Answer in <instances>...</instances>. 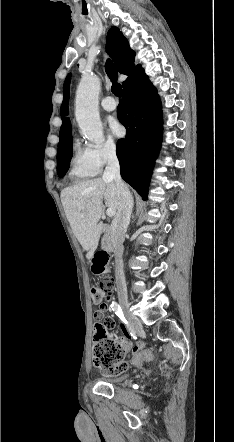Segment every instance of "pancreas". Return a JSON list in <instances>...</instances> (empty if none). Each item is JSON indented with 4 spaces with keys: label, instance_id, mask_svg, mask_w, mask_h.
Segmentation results:
<instances>
[{
    "label": "pancreas",
    "instance_id": "1",
    "mask_svg": "<svg viewBox=\"0 0 234 442\" xmlns=\"http://www.w3.org/2000/svg\"><path fill=\"white\" fill-rule=\"evenodd\" d=\"M109 239V235L108 234H106L105 235V237H104V239H103V241H102V246L104 247V248H107L109 245L107 244V240Z\"/></svg>",
    "mask_w": 234,
    "mask_h": 442
}]
</instances>
